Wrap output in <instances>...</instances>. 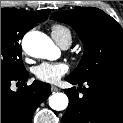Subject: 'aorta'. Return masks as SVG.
<instances>
[{
	"mask_svg": "<svg viewBox=\"0 0 123 123\" xmlns=\"http://www.w3.org/2000/svg\"><path fill=\"white\" fill-rule=\"evenodd\" d=\"M24 51L35 58L52 59L56 47L52 40L45 34L37 31L27 33L22 40ZM49 105L53 110L62 111L68 106V97L64 93H53L49 97Z\"/></svg>",
	"mask_w": 123,
	"mask_h": 123,
	"instance_id": "1",
	"label": "aorta"
}]
</instances>
